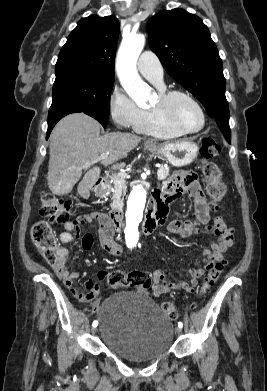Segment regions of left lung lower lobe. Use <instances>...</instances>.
Returning a JSON list of instances; mask_svg holds the SVG:
<instances>
[{"mask_svg":"<svg viewBox=\"0 0 267 391\" xmlns=\"http://www.w3.org/2000/svg\"><path fill=\"white\" fill-rule=\"evenodd\" d=\"M214 120L218 124V127L220 128L224 137L230 143L231 132H230V127H229V117H219V118H215Z\"/></svg>","mask_w":267,"mask_h":391,"instance_id":"0a47b994","label":"left lung lower lobe"}]
</instances>
